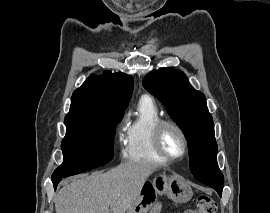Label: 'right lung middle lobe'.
<instances>
[{
	"mask_svg": "<svg viewBox=\"0 0 270 213\" xmlns=\"http://www.w3.org/2000/svg\"><path fill=\"white\" fill-rule=\"evenodd\" d=\"M122 115L65 119L66 135L61 143L64 160L52 174V180L79 174L111 161L115 126Z\"/></svg>",
	"mask_w": 270,
	"mask_h": 213,
	"instance_id": "dd1d6c3e",
	"label": "right lung middle lobe"
}]
</instances>
